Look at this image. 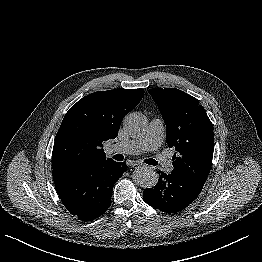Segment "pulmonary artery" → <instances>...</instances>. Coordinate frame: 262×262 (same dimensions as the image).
Returning a JSON list of instances; mask_svg holds the SVG:
<instances>
[{
    "label": "pulmonary artery",
    "instance_id": "obj_1",
    "mask_svg": "<svg viewBox=\"0 0 262 262\" xmlns=\"http://www.w3.org/2000/svg\"><path fill=\"white\" fill-rule=\"evenodd\" d=\"M164 135V123L159 118H154L149 124L146 134L140 138L132 139L124 142H118L113 145V150L124 154H139L146 151H156L162 141ZM156 159L165 173L172 170L171 162L161 153L156 154Z\"/></svg>",
    "mask_w": 262,
    "mask_h": 262
}]
</instances>
